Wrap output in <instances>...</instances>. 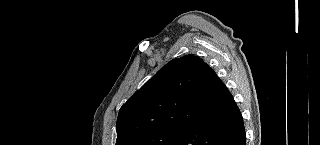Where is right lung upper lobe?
<instances>
[{"instance_id": "1", "label": "right lung upper lobe", "mask_w": 320, "mask_h": 145, "mask_svg": "<svg viewBox=\"0 0 320 145\" xmlns=\"http://www.w3.org/2000/svg\"><path fill=\"white\" fill-rule=\"evenodd\" d=\"M222 84L198 56L173 59L120 108L116 145L206 119L219 107Z\"/></svg>"}]
</instances>
